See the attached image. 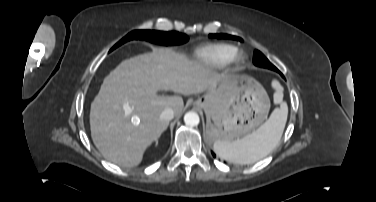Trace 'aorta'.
<instances>
[{
    "mask_svg": "<svg viewBox=\"0 0 376 202\" xmlns=\"http://www.w3.org/2000/svg\"><path fill=\"white\" fill-rule=\"evenodd\" d=\"M184 122L187 126H197L200 122L199 115L196 112L189 111L184 115Z\"/></svg>",
    "mask_w": 376,
    "mask_h": 202,
    "instance_id": "aorta-1",
    "label": "aorta"
}]
</instances>
